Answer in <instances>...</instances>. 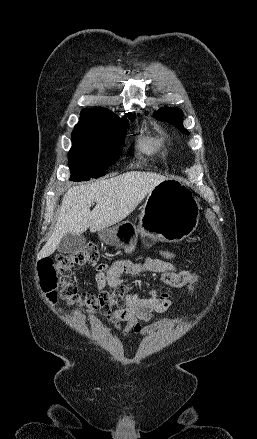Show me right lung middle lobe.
Masks as SVG:
<instances>
[{
  "label": "right lung middle lobe",
  "mask_w": 257,
  "mask_h": 439,
  "mask_svg": "<svg viewBox=\"0 0 257 439\" xmlns=\"http://www.w3.org/2000/svg\"><path fill=\"white\" fill-rule=\"evenodd\" d=\"M128 117L134 120L133 114ZM128 127L126 118L119 121L80 119L72 132L70 180L85 181L105 175V169L115 163L123 150Z\"/></svg>",
  "instance_id": "dd1d6c3e"
}]
</instances>
